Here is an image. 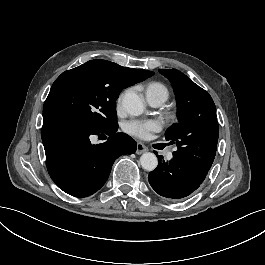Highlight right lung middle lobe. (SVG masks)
Instances as JSON below:
<instances>
[{
	"label": "right lung middle lobe",
	"mask_w": 265,
	"mask_h": 265,
	"mask_svg": "<svg viewBox=\"0 0 265 265\" xmlns=\"http://www.w3.org/2000/svg\"><path fill=\"white\" fill-rule=\"evenodd\" d=\"M140 82L137 74L95 59L62 73L53 83L43 115L57 114L102 132L118 127L116 99L122 89Z\"/></svg>",
	"instance_id": "1"
}]
</instances>
